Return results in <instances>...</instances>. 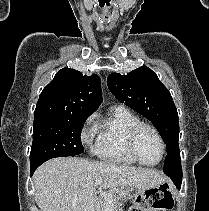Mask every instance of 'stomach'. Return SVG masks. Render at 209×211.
<instances>
[{
  "label": "stomach",
  "mask_w": 209,
  "mask_h": 211,
  "mask_svg": "<svg viewBox=\"0 0 209 211\" xmlns=\"http://www.w3.org/2000/svg\"><path fill=\"white\" fill-rule=\"evenodd\" d=\"M142 193V190L136 188H124L122 190V197L124 200H136Z\"/></svg>",
  "instance_id": "stomach-1"
}]
</instances>
